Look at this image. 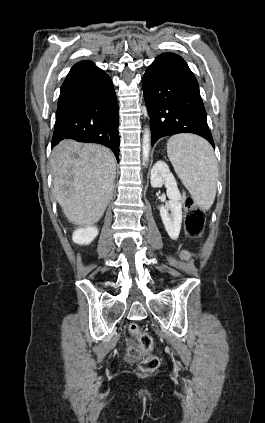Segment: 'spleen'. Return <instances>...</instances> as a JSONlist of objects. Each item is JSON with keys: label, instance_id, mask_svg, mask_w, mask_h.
Segmentation results:
<instances>
[{"label": "spleen", "instance_id": "1", "mask_svg": "<svg viewBox=\"0 0 265 423\" xmlns=\"http://www.w3.org/2000/svg\"><path fill=\"white\" fill-rule=\"evenodd\" d=\"M167 155L194 202L202 210H209L216 197L218 179V164L211 145L196 135L178 134L168 140Z\"/></svg>", "mask_w": 265, "mask_h": 423}]
</instances>
